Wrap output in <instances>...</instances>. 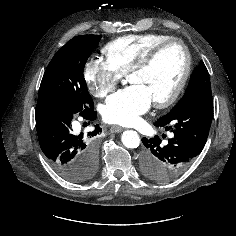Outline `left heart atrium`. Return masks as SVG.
<instances>
[{
    "instance_id": "obj_1",
    "label": "left heart atrium",
    "mask_w": 236,
    "mask_h": 236,
    "mask_svg": "<svg viewBox=\"0 0 236 236\" xmlns=\"http://www.w3.org/2000/svg\"><path fill=\"white\" fill-rule=\"evenodd\" d=\"M151 103L152 99L146 88L134 84L107 99L102 117L111 124L130 126L149 109Z\"/></svg>"
}]
</instances>
